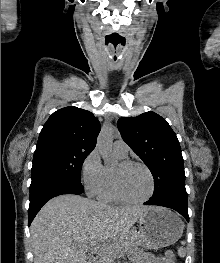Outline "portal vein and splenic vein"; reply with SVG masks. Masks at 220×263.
<instances>
[{
    "mask_svg": "<svg viewBox=\"0 0 220 263\" xmlns=\"http://www.w3.org/2000/svg\"><path fill=\"white\" fill-rule=\"evenodd\" d=\"M97 249L98 248L96 247L95 242H91L90 244L86 246V250H88L90 253L97 251Z\"/></svg>",
    "mask_w": 220,
    "mask_h": 263,
    "instance_id": "18ae733b",
    "label": "portal vein and splenic vein"
}]
</instances>
